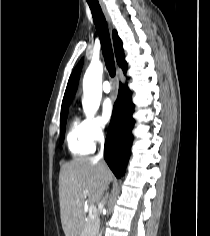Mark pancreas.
Here are the masks:
<instances>
[{
	"mask_svg": "<svg viewBox=\"0 0 210 236\" xmlns=\"http://www.w3.org/2000/svg\"><path fill=\"white\" fill-rule=\"evenodd\" d=\"M97 231H98V218L89 217L83 229V234L81 236H96Z\"/></svg>",
	"mask_w": 210,
	"mask_h": 236,
	"instance_id": "obj_1",
	"label": "pancreas"
}]
</instances>
